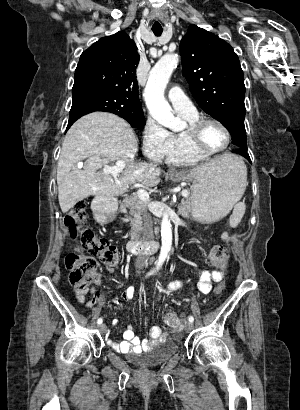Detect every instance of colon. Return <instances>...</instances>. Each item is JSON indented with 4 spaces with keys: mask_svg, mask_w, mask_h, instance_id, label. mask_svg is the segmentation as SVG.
<instances>
[{
    "mask_svg": "<svg viewBox=\"0 0 300 410\" xmlns=\"http://www.w3.org/2000/svg\"><path fill=\"white\" fill-rule=\"evenodd\" d=\"M87 202H78L64 218V224L68 228L71 238L79 239L87 249L88 255L70 253L66 256V268L70 272V282L82 289L92 282L97 275V259L107 268H113L118 264L116 246L108 239L96 234L91 228L85 227ZM209 258L215 265H224L227 259V251L223 245H214ZM224 289L223 284H218L216 292ZM165 322L174 327L179 319L173 312L165 314Z\"/></svg>",
    "mask_w": 300,
    "mask_h": 410,
    "instance_id": "1",
    "label": "colon"
}]
</instances>
